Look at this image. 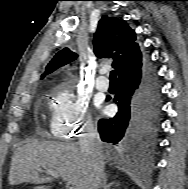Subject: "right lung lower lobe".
<instances>
[{"mask_svg":"<svg viewBox=\"0 0 188 189\" xmlns=\"http://www.w3.org/2000/svg\"><path fill=\"white\" fill-rule=\"evenodd\" d=\"M114 102L118 113L98 122L102 141L126 143L137 154L144 155L154 142L160 116L159 83L146 59L138 72L118 79Z\"/></svg>","mask_w":188,"mask_h":189,"instance_id":"1","label":"right lung lower lobe"}]
</instances>
